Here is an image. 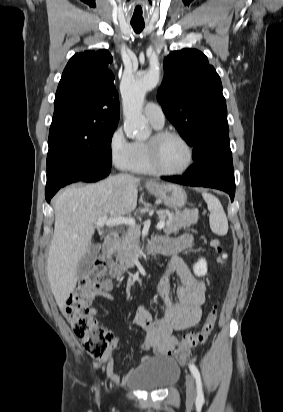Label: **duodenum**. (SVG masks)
Returning <instances> with one entry per match:
<instances>
[{
	"mask_svg": "<svg viewBox=\"0 0 283 412\" xmlns=\"http://www.w3.org/2000/svg\"><path fill=\"white\" fill-rule=\"evenodd\" d=\"M119 233L116 230L111 231L105 238L103 242V247L101 251L102 258L106 260L108 264V274L112 278L120 277L126 270V268L133 267L134 263L128 264L126 266L117 265L114 262L113 255L117 243ZM173 247L167 244L157 243L153 240L147 247L136 256L134 261H139L143 258L148 257L151 254L155 253H170L172 252ZM133 261V262H134Z\"/></svg>",
	"mask_w": 283,
	"mask_h": 412,
	"instance_id": "1",
	"label": "duodenum"
}]
</instances>
